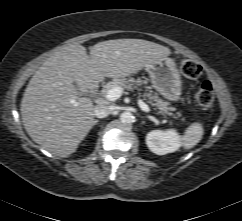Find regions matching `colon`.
I'll use <instances>...</instances> for the list:
<instances>
[{"label": "colon", "instance_id": "obj_1", "mask_svg": "<svg viewBox=\"0 0 242 221\" xmlns=\"http://www.w3.org/2000/svg\"><path fill=\"white\" fill-rule=\"evenodd\" d=\"M182 73L190 79L198 78L202 73L201 66L193 60H184L181 63ZM195 102L202 108L210 107L214 102V91L210 82L201 84L194 96Z\"/></svg>", "mask_w": 242, "mask_h": 221}]
</instances>
